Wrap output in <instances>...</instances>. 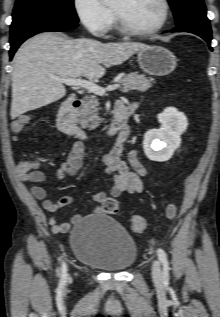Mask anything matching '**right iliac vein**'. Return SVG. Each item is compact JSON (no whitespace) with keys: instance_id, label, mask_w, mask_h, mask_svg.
I'll return each mask as SVG.
<instances>
[{"instance_id":"63e3f726","label":"right iliac vein","mask_w":220,"mask_h":317,"mask_svg":"<svg viewBox=\"0 0 220 317\" xmlns=\"http://www.w3.org/2000/svg\"><path fill=\"white\" fill-rule=\"evenodd\" d=\"M65 281H66V282H69V281H70V277L67 276L66 279H65Z\"/></svg>"}]
</instances>
